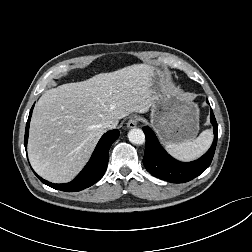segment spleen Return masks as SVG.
I'll return each mask as SVG.
<instances>
[{
  "label": "spleen",
  "mask_w": 252,
  "mask_h": 252,
  "mask_svg": "<svg viewBox=\"0 0 252 252\" xmlns=\"http://www.w3.org/2000/svg\"><path fill=\"white\" fill-rule=\"evenodd\" d=\"M213 140L211 130L203 131L195 140L180 143H167V151L174 157L190 161L203 155L210 147Z\"/></svg>",
  "instance_id": "obj_1"
}]
</instances>
